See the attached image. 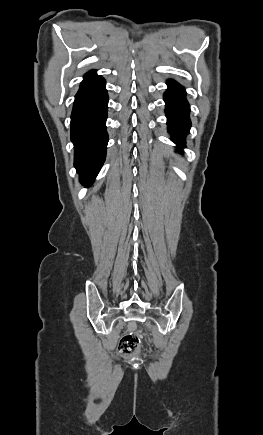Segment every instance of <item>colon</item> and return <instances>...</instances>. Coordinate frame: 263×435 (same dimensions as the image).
Masks as SVG:
<instances>
[{"label": "colon", "instance_id": "1", "mask_svg": "<svg viewBox=\"0 0 263 435\" xmlns=\"http://www.w3.org/2000/svg\"><path fill=\"white\" fill-rule=\"evenodd\" d=\"M137 332L133 330L131 333L124 335L118 344V352L124 356H130L137 352L141 347V340ZM146 337L144 334L141 336Z\"/></svg>", "mask_w": 263, "mask_h": 435}]
</instances>
